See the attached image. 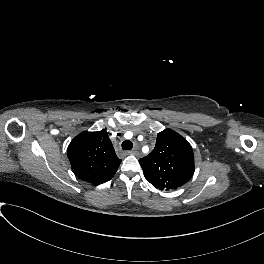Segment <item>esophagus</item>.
Instances as JSON below:
<instances>
[{
  "mask_svg": "<svg viewBox=\"0 0 264 264\" xmlns=\"http://www.w3.org/2000/svg\"><path fill=\"white\" fill-rule=\"evenodd\" d=\"M135 154H136L135 150L126 152V155H135Z\"/></svg>",
  "mask_w": 264,
  "mask_h": 264,
  "instance_id": "1",
  "label": "esophagus"
}]
</instances>
